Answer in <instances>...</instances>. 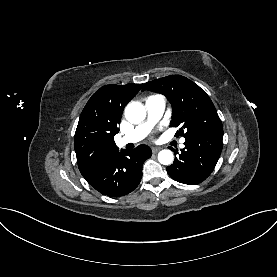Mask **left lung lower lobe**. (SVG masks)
Wrapping results in <instances>:
<instances>
[{
    "mask_svg": "<svg viewBox=\"0 0 277 277\" xmlns=\"http://www.w3.org/2000/svg\"><path fill=\"white\" fill-rule=\"evenodd\" d=\"M223 130L202 133L186 139L179 158L167 167L169 176L180 183L195 185L214 170L220 157Z\"/></svg>",
    "mask_w": 277,
    "mask_h": 277,
    "instance_id": "0a47b994",
    "label": "left lung lower lobe"
}]
</instances>
